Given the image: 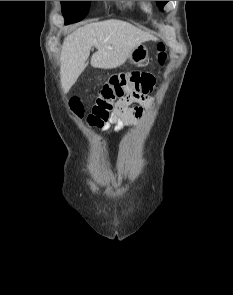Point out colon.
Instances as JSON below:
<instances>
[{
	"label": "colon",
	"mask_w": 233,
	"mask_h": 295,
	"mask_svg": "<svg viewBox=\"0 0 233 295\" xmlns=\"http://www.w3.org/2000/svg\"><path fill=\"white\" fill-rule=\"evenodd\" d=\"M157 50L158 62L163 64L166 59L165 45L159 43ZM155 87V79L148 72L132 71L113 75L99 91L87 117L88 123L91 126H102L113 111L115 101L124 98H139L153 91ZM70 108L78 117L83 116V104L79 98L71 99Z\"/></svg>",
	"instance_id": "colon-1"
}]
</instances>
